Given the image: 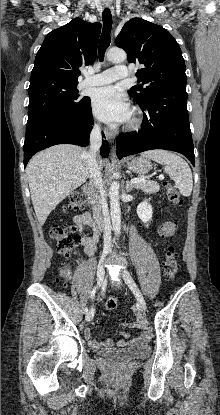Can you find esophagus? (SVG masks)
Wrapping results in <instances>:
<instances>
[{"instance_id":"1","label":"esophagus","mask_w":220,"mask_h":415,"mask_svg":"<svg viewBox=\"0 0 220 415\" xmlns=\"http://www.w3.org/2000/svg\"><path fill=\"white\" fill-rule=\"evenodd\" d=\"M106 7H108V8H110L111 7V5H110V3H106ZM105 136H106V138L107 139H109L110 141L114 138V136H115V132H113V131H111V130H109L108 128H105Z\"/></svg>"}]
</instances>
